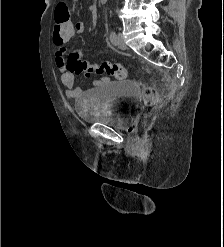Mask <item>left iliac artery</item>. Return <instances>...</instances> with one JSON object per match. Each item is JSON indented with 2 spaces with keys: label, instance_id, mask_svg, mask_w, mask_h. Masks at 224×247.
<instances>
[{
  "label": "left iliac artery",
  "instance_id": "44dca946",
  "mask_svg": "<svg viewBox=\"0 0 224 247\" xmlns=\"http://www.w3.org/2000/svg\"><path fill=\"white\" fill-rule=\"evenodd\" d=\"M116 37H117V35H116L115 31L112 30L111 33H110V41L114 45L116 44Z\"/></svg>",
  "mask_w": 224,
  "mask_h": 247
}]
</instances>
